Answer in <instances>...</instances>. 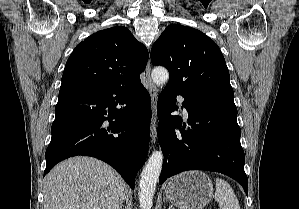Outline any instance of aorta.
Masks as SVG:
<instances>
[{
    "label": "aorta",
    "instance_id": "obj_1",
    "mask_svg": "<svg viewBox=\"0 0 299 209\" xmlns=\"http://www.w3.org/2000/svg\"><path fill=\"white\" fill-rule=\"evenodd\" d=\"M152 80L157 85H163L167 83L169 79V73L164 67H155L151 73ZM163 153L161 150L154 151L145 165L139 183V203L140 209H151L153 204V197L158 182L162 165H163Z\"/></svg>",
    "mask_w": 299,
    "mask_h": 209
}]
</instances>
